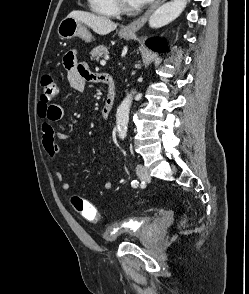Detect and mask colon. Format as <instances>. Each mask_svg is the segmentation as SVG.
Segmentation results:
<instances>
[{"label":"colon","instance_id":"5ec220e1","mask_svg":"<svg viewBox=\"0 0 249 294\" xmlns=\"http://www.w3.org/2000/svg\"><path fill=\"white\" fill-rule=\"evenodd\" d=\"M42 92L40 98L43 102H49L59 95V88L51 75H44L41 79ZM72 205L77 214L89 222L97 223L100 215L96 207L88 200L81 197H73Z\"/></svg>","mask_w":249,"mask_h":294}]
</instances>
